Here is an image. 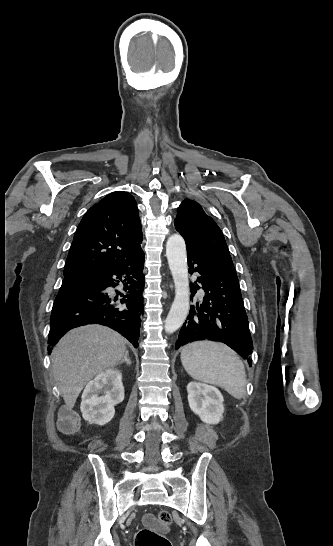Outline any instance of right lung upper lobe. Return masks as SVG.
<instances>
[{
	"label": "right lung upper lobe",
	"instance_id": "1",
	"mask_svg": "<svg viewBox=\"0 0 333 546\" xmlns=\"http://www.w3.org/2000/svg\"><path fill=\"white\" fill-rule=\"evenodd\" d=\"M142 237L134 197L123 191L112 192L83 216L69 249L64 276L123 265L142 252Z\"/></svg>",
	"mask_w": 333,
	"mask_h": 546
}]
</instances>
